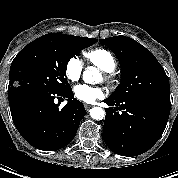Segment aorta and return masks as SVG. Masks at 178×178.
I'll use <instances>...</instances> for the list:
<instances>
[{"mask_svg":"<svg viewBox=\"0 0 178 178\" xmlns=\"http://www.w3.org/2000/svg\"><path fill=\"white\" fill-rule=\"evenodd\" d=\"M99 76V72L95 67H88L83 72V79L86 83H92L93 77ZM90 116L95 120H101L105 117V111L100 107H94L90 110Z\"/></svg>","mask_w":178,"mask_h":178,"instance_id":"aorta-1","label":"aorta"}]
</instances>
